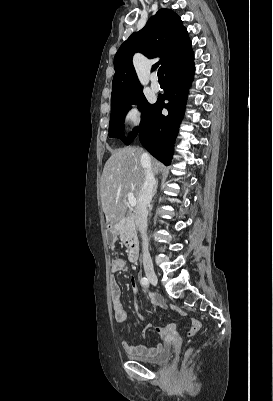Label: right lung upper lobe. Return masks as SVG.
<instances>
[{
    "label": "right lung upper lobe",
    "mask_w": 273,
    "mask_h": 401,
    "mask_svg": "<svg viewBox=\"0 0 273 401\" xmlns=\"http://www.w3.org/2000/svg\"><path fill=\"white\" fill-rule=\"evenodd\" d=\"M136 52L147 58L161 57L157 64H162L165 75L194 56L188 32L180 17L170 9H160L141 31L131 34L117 51L111 107L143 93L132 63Z\"/></svg>",
    "instance_id": "cb5924a9"
}]
</instances>
